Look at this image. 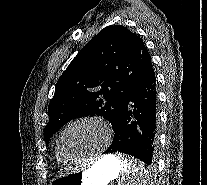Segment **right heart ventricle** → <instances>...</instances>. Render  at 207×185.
I'll use <instances>...</instances> for the list:
<instances>
[{"mask_svg":"<svg viewBox=\"0 0 207 185\" xmlns=\"http://www.w3.org/2000/svg\"><path fill=\"white\" fill-rule=\"evenodd\" d=\"M55 154H56V159L60 164H66L67 163V161L60 154L58 144L56 146Z\"/></svg>","mask_w":207,"mask_h":185,"instance_id":"e07e8e85","label":"right heart ventricle"}]
</instances>
